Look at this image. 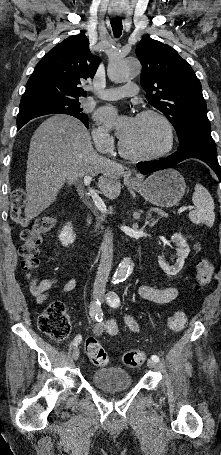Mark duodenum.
Returning a JSON list of instances; mask_svg holds the SVG:
<instances>
[{"mask_svg": "<svg viewBox=\"0 0 221 455\" xmlns=\"http://www.w3.org/2000/svg\"><path fill=\"white\" fill-rule=\"evenodd\" d=\"M92 222V216L91 215H88L87 219H86V222H85V227H87L90 223ZM82 241L83 243L88 247V244H87V241H86V238H85V230H83L82 232Z\"/></svg>", "mask_w": 221, "mask_h": 455, "instance_id": "410a0bca", "label": "duodenum"}]
</instances>
